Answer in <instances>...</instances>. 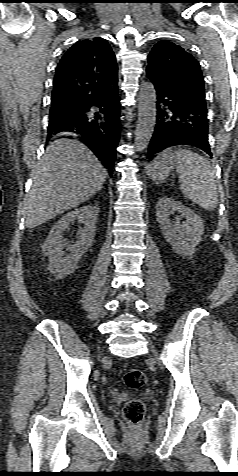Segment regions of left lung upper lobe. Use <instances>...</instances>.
Returning <instances> with one entry per match:
<instances>
[{"instance_id": "obj_1", "label": "left lung upper lobe", "mask_w": 238, "mask_h": 476, "mask_svg": "<svg viewBox=\"0 0 238 476\" xmlns=\"http://www.w3.org/2000/svg\"><path fill=\"white\" fill-rule=\"evenodd\" d=\"M146 73L156 84L179 98L206 106L200 65L180 46L159 41L148 55Z\"/></svg>"}]
</instances>
